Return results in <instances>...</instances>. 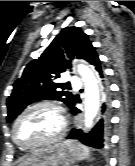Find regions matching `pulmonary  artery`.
Masks as SVG:
<instances>
[{
    "mask_svg": "<svg viewBox=\"0 0 135 166\" xmlns=\"http://www.w3.org/2000/svg\"><path fill=\"white\" fill-rule=\"evenodd\" d=\"M70 82H71V84H72L74 87H77V86H79V84H80L79 80H78L77 78H75V77H71V78H70Z\"/></svg>",
    "mask_w": 135,
    "mask_h": 166,
    "instance_id": "e3ab8cb5",
    "label": "pulmonary artery"
}]
</instances>
